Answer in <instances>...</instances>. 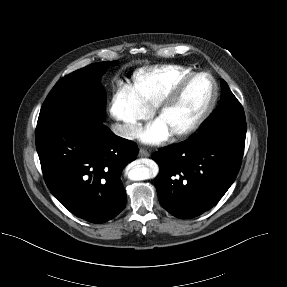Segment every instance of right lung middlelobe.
<instances>
[{
  "instance_id": "obj_1",
  "label": "right lung middle lobe",
  "mask_w": 287,
  "mask_h": 287,
  "mask_svg": "<svg viewBox=\"0 0 287 287\" xmlns=\"http://www.w3.org/2000/svg\"><path fill=\"white\" fill-rule=\"evenodd\" d=\"M109 65V61L94 63L58 81L42 105L37 128L57 124L76 114L105 119L106 93L100 78Z\"/></svg>"
}]
</instances>
